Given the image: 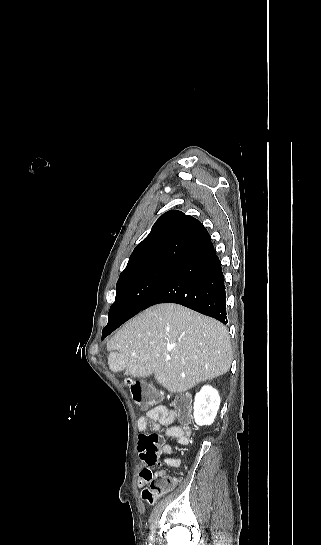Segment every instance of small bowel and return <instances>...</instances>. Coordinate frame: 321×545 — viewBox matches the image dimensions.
<instances>
[{
	"mask_svg": "<svg viewBox=\"0 0 321 545\" xmlns=\"http://www.w3.org/2000/svg\"><path fill=\"white\" fill-rule=\"evenodd\" d=\"M176 420V415L173 411L164 407H156L138 419L137 427L140 432H144L147 428H152L155 431L163 433L167 437L175 438L180 444H187L190 438V430L186 425L171 426ZM163 454L171 453V446L163 443L160 447ZM145 467L141 470L138 479V486L144 487L149 483V479L153 474L152 467L157 463V458L147 460L142 456ZM164 463L174 467H180L179 459L164 458ZM176 478V477H175ZM179 481L178 478H176Z\"/></svg>",
	"mask_w": 321,
	"mask_h": 545,
	"instance_id": "1",
	"label": "small bowel"
}]
</instances>
